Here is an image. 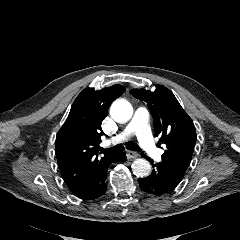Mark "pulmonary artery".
Instances as JSON below:
<instances>
[{"mask_svg": "<svg viewBox=\"0 0 240 240\" xmlns=\"http://www.w3.org/2000/svg\"><path fill=\"white\" fill-rule=\"evenodd\" d=\"M148 122L149 113L147 109L144 107L137 108L131 121L114 140L121 141L131 135H136L140 145L150 157L155 159L160 158L162 151L156 147L153 141Z\"/></svg>", "mask_w": 240, "mask_h": 240, "instance_id": "obj_1", "label": "pulmonary artery"}]
</instances>
